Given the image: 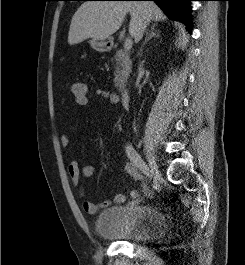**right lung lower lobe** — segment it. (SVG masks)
<instances>
[{
  "label": "right lung lower lobe",
  "mask_w": 245,
  "mask_h": 265,
  "mask_svg": "<svg viewBox=\"0 0 245 265\" xmlns=\"http://www.w3.org/2000/svg\"><path fill=\"white\" fill-rule=\"evenodd\" d=\"M119 1H154L172 19L181 21L191 33L190 1L193 0H119Z\"/></svg>",
  "instance_id": "98d812e1"
}]
</instances>
